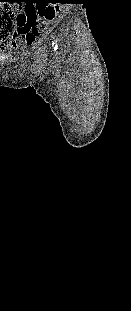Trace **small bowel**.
Masks as SVG:
<instances>
[{
    "mask_svg": "<svg viewBox=\"0 0 131 311\" xmlns=\"http://www.w3.org/2000/svg\"><path fill=\"white\" fill-rule=\"evenodd\" d=\"M20 34H23L24 37V42L26 45L31 46L33 45L34 41H35V35L32 33H28V32H19ZM8 37H13V34H8ZM16 36H14L15 39Z\"/></svg>",
    "mask_w": 131,
    "mask_h": 311,
    "instance_id": "small-bowel-1",
    "label": "small bowel"
}]
</instances>
